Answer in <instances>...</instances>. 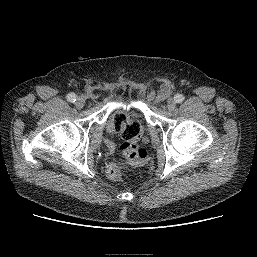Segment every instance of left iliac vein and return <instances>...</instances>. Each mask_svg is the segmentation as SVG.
<instances>
[{"mask_svg":"<svg viewBox=\"0 0 257 257\" xmlns=\"http://www.w3.org/2000/svg\"><path fill=\"white\" fill-rule=\"evenodd\" d=\"M176 107V102L173 99H168L166 102V108L169 111L174 110Z\"/></svg>","mask_w":257,"mask_h":257,"instance_id":"1","label":"left iliac vein"}]
</instances>
